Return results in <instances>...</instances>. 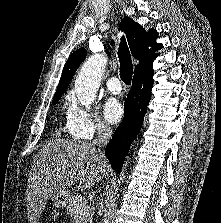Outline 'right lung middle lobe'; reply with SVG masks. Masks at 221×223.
Returning <instances> with one entry per match:
<instances>
[{
    "instance_id": "right-lung-middle-lobe-1",
    "label": "right lung middle lobe",
    "mask_w": 221,
    "mask_h": 223,
    "mask_svg": "<svg viewBox=\"0 0 221 223\" xmlns=\"http://www.w3.org/2000/svg\"><path fill=\"white\" fill-rule=\"evenodd\" d=\"M60 98L53 99V104H56Z\"/></svg>"
}]
</instances>
